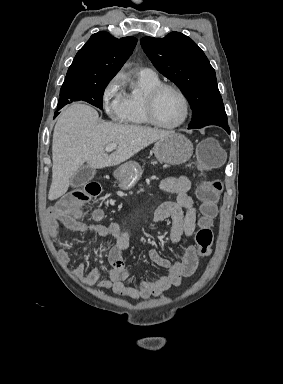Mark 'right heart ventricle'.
<instances>
[{"mask_svg":"<svg viewBox=\"0 0 283 384\" xmlns=\"http://www.w3.org/2000/svg\"><path fill=\"white\" fill-rule=\"evenodd\" d=\"M159 78H148L144 75H137V84L142 87L140 95L126 94L124 105V120L128 126L142 128L148 126V122L143 113V98L153 87L159 85Z\"/></svg>","mask_w":283,"mask_h":384,"instance_id":"e07e8e85","label":"right heart ventricle"}]
</instances>
